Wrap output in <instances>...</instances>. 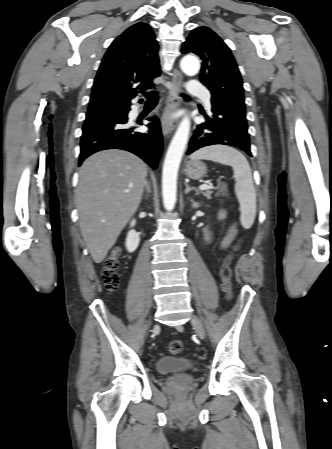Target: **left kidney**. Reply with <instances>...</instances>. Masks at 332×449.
Instances as JSON below:
<instances>
[{
	"label": "left kidney",
	"instance_id": "1",
	"mask_svg": "<svg viewBox=\"0 0 332 449\" xmlns=\"http://www.w3.org/2000/svg\"><path fill=\"white\" fill-rule=\"evenodd\" d=\"M193 207H198V204H197V203H194V204H193ZM205 232H206V230H205ZM206 239H208V234H206Z\"/></svg>",
	"mask_w": 332,
	"mask_h": 449
}]
</instances>
